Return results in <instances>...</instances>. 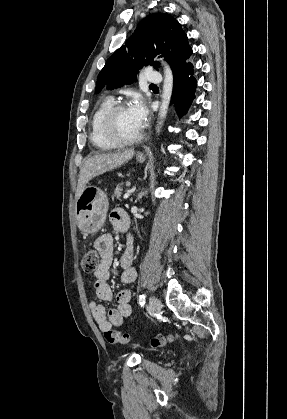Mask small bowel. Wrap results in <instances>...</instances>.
<instances>
[{"label":"small bowel","mask_w":287,"mask_h":419,"mask_svg":"<svg viewBox=\"0 0 287 419\" xmlns=\"http://www.w3.org/2000/svg\"><path fill=\"white\" fill-rule=\"evenodd\" d=\"M110 222L116 230H125L129 226V217L122 208H116L110 215ZM113 237L110 233L99 236L94 242V248L101 256V262L95 272L94 290L99 299L111 301L113 293L107 280L110 275V267L113 259ZM134 250L129 242L120 263L123 271L120 275V281L123 284L131 283L136 278V270L133 266ZM131 292L128 289H122L116 294L117 305L108 311L96 301L89 304L92 316L102 332L111 330L113 327L121 326L126 317L132 313L130 304Z\"/></svg>","instance_id":"obj_1"}]
</instances>
